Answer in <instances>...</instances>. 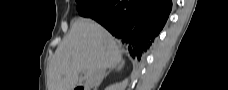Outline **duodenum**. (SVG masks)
<instances>
[{
    "mask_svg": "<svg viewBox=\"0 0 228 90\" xmlns=\"http://www.w3.org/2000/svg\"><path fill=\"white\" fill-rule=\"evenodd\" d=\"M75 90H86V88L83 87V86H77V87L75 88Z\"/></svg>",
    "mask_w": 228,
    "mask_h": 90,
    "instance_id": "duodenum-1",
    "label": "duodenum"
}]
</instances>
